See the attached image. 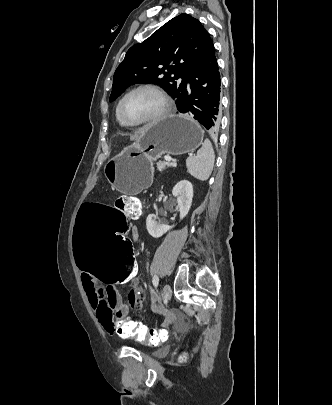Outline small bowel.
Listing matches in <instances>:
<instances>
[{
    "label": "small bowel",
    "mask_w": 332,
    "mask_h": 405,
    "mask_svg": "<svg viewBox=\"0 0 332 405\" xmlns=\"http://www.w3.org/2000/svg\"><path fill=\"white\" fill-rule=\"evenodd\" d=\"M130 217L137 219L139 214H133ZM131 234H133V240L137 241L139 233L135 226L131 228ZM79 269L84 290L101 326L108 333L117 335L119 328L116 327V321L122 322L125 313H129V306H132L133 310H138L139 306H145V297H134L139 288L138 275L135 281L127 282L130 287L129 294L122 295L115 287L101 289L98 281L95 280V275H83L82 268ZM154 305L159 308L160 302L155 299Z\"/></svg>",
    "instance_id": "obj_1"
}]
</instances>
